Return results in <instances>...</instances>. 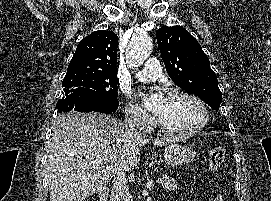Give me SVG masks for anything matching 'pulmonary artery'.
Returning a JSON list of instances; mask_svg holds the SVG:
<instances>
[{"instance_id":"e3ab8cb5","label":"pulmonary artery","mask_w":271,"mask_h":201,"mask_svg":"<svg viewBox=\"0 0 271 201\" xmlns=\"http://www.w3.org/2000/svg\"><path fill=\"white\" fill-rule=\"evenodd\" d=\"M161 75L162 69L156 58L148 59L145 63V67L134 74L136 79L144 82L153 81Z\"/></svg>"}]
</instances>
